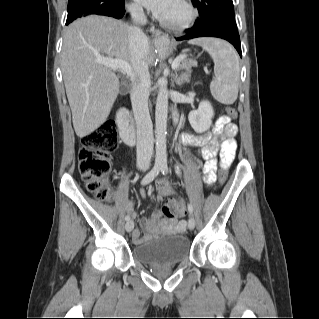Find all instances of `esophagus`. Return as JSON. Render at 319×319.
<instances>
[{"label":"esophagus","instance_id":"1","mask_svg":"<svg viewBox=\"0 0 319 319\" xmlns=\"http://www.w3.org/2000/svg\"><path fill=\"white\" fill-rule=\"evenodd\" d=\"M151 36L154 39H161L164 37V34L158 29H151Z\"/></svg>","mask_w":319,"mask_h":319}]
</instances>
